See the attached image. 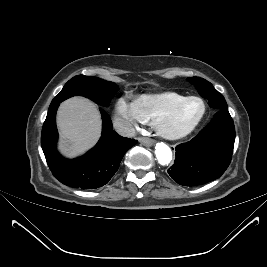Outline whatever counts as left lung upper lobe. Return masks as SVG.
Segmentation results:
<instances>
[{
    "label": "left lung upper lobe",
    "mask_w": 267,
    "mask_h": 267,
    "mask_svg": "<svg viewBox=\"0 0 267 267\" xmlns=\"http://www.w3.org/2000/svg\"><path fill=\"white\" fill-rule=\"evenodd\" d=\"M188 80L195 85L202 97L208 99V103L211 107L217 109H228L224 97L214 89L210 82L199 77H191L188 78Z\"/></svg>",
    "instance_id": "left-lung-upper-lobe-1"
}]
</instances>
